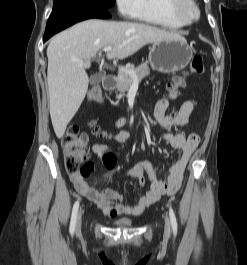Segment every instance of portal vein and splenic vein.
Masks as SVG:
<instances>
[{
    "mask_svg": "<svg viewBox=\"0 0 247 265\" xmlns=\"http://www.w3.org/2000/svg\"><path fill=\"white\" fill-rule=\"evenodd\" d=\"M111 50H112V46H106V47L103 48L104 52H109ZM119 69H120V71H124L125 73L130 74L133 78H136L135 73L132 72L131 70H127V69H125L123 67H120Z\"/></svg>",
    "mask_w": 247,
    "mask_h": 265,
    "instance_id": "18ae733b",
    "label": "portal vein and splenic vein"
}]
</instances>
